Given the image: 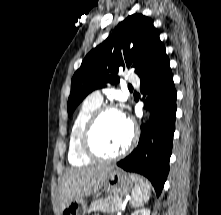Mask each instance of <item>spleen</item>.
Here are the masks:
<instances>
[{"label":"spleen","instance_id":"spleen-1","mask_svg":"<svg viewBox=\"0 0 221 215\" xmlns=\"http://www.w3.org/2000/svg\"><path fill=\"white\" fill-rule=\"evenodd\" d=\"M135 179V187L132 191L131 204L133 207H140L146 203L151 195L150 185L142 177L132 175Z\"/></svg>","mask_w":221,"mask_h":215}]
</instances>
